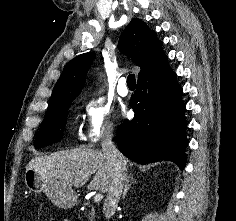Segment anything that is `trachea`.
I'll use <instances>...</instances> for the list:
<instances>
[{
  "label": "trachea",
  "instance_id": "3493384b",
  "mask_svg": "<svg viewBox=\"0 0 236 221\" xmlns=\"http://www.w3.org/2000/svg\"><path fill=\"white\" fill-rule=\"evenodd\" d=\"M127 85L128 86H136L135 74H130L127 77Z\"/></svg>",
  "mask_w": 236,
  "mask_h": 221
}]
</instances>
